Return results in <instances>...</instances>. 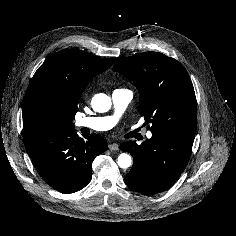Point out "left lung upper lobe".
Masks as SVG:
<instances>
[{
	"mask_svg": "<svg viewBox=\"0 0 236 236\" xmlns=\"http://www.w3.org/2000/svg\"><path fill=\"white\" fill-rule=\"evenodd\" d=\"M113 70L134 81L140 92L139 113L152 125V134L195 137L196 97L181 63L162 53L144 52L119 59Z\"/></svg>",
	"mask_w": 236,
	"mask_h": 236,
	"instance_id": "5c2ea615",
	"label": "left lung upper lobe"
}]
</instances>
